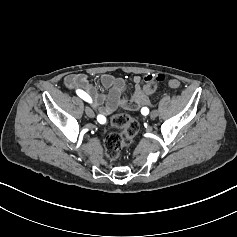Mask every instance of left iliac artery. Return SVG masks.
<instances>
[{
    "label": "left iliac artery",
    "mask_w": 237,
    "mask_h": 237,
    "mask_svg": "<svg viewBox=\"0 0 237 237\" xmlns=\"http://www.w3.org/2000/svg\"><path fill=\"white\" fill-rule=\"evenodd\" d=\"M141 113H142L143 115H147V114L149 113V109H148L147 107H143V108L141 109Z\"/></svg>",
    "instance_id": "left-iliac-artery-1"
}]
</instances>
